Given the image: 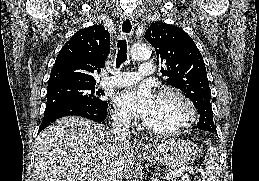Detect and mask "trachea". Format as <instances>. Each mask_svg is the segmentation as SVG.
<instances>
[{
	"label": "trachea",
	"instance_id": "obj_1",
	"mask_svg": "<svg viewBox=\"0 0 259 181\" xmlns=\"http://www.w3.org/2000/svg\"><path fill=\"white\" fill-rule=\"evenodd\" d=\"M117 46L119 48L116 58V67L119 68L120 65L127 61V42L125 39L118 41Z\"/></svg>",
	"mask_w": 259,
	"mask_h": 181
}]
</instances>
